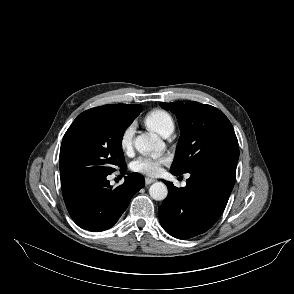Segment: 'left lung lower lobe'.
<instances>
[{
    "label": "left lung lower lobe",
    "mask_w": 294,
    "mask_h": 294,
    "mask_svg": "<svg viewBox=\"0 0 294 294\" xmlns=\"http://www.w3.org/2000/svg\"><path fill=\"white\" fill-rule=\"evenodd\" d=\"M238 157V148L212 157L191 172L186 186L179 189L172 182L164 181L168 197L159 206L158 215L167 233L178 239H188L213 226L233 189Z\"/></svg>",
    "instance_id": "0a47b994"
}]
</instances>
